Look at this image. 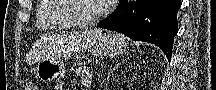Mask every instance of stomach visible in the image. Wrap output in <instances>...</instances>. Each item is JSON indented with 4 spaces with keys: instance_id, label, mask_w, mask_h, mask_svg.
I'll return each mask as SVG.
<instances>
[{
    "instance_id": "0dacf381",
    "label": "stomach",
    "mask_w": 216,
    "mask_h": 90,
    "mask_svg": "<svg viewBox=\"0 0 216 90\" xmlns=\"http://www.w3.org/2000/svg\"><path fill=\"white\" fill-rule=\"evenodd\" d=\"M127 50L123 36L113 32L102 35L94 44L93 54L114 57ZM65 66L60 60H45L38 64L36 77L41 81H54L65 76Z\"/></svg>"
}]
</instances>
